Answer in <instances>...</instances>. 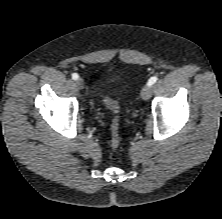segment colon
Instances as JSON below:
<instances>
[{
	"mask_svg": "<svg viewBox=\"0 0 222 219\" xmlns=\"http://www.w3.org/2000/svg\"><path fill=\"white\" fill-rule=\"evenodd\" d=\"M106 105L113 111L117 112L118 105L113 101H107ZM120 136H119V122L118 118H115L112 127H111V145L113 148H116L119 145Z\"/></svg>",
	"mask_w": 222,
	"mask_h": 219,
	"instance_id": "obj_1",
	"label": "colon"
}]
</instances>
